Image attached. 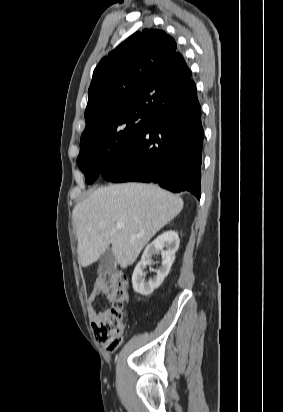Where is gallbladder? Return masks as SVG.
Segmentation results:
<instances>
[{
	"mask_svg": "<svg viewBox=\"0 0 283 412\" xmlns=\"http://www.w3.org/2000/svg\"><path fill=\"white\" fill-rule=\"evenodd\" d=\"M116 268V259L110 248L101 256L99 263V275L104 276L108 273H112Z\"/></svg>",
	"mask_w": 283,
	"mask_h": 412,
	"instance_id": "1",
	"label": "gallbladder"
}]
</instances>
